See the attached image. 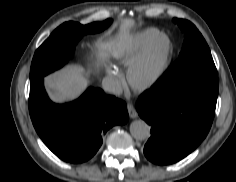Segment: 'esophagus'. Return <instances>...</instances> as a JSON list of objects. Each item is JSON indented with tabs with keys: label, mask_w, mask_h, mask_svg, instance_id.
<instances>
[{
	"label": "esophagus",
	"mask_w": 236,
	"mask_h": 182,
	"mask_svg": "<svg viewBox=\"0 0 236 182\" xmlns=\"http://www.w3.org/2000/svg\"><path fill=\"white\" fill-rule=\"evenodd\" d=\"M127 110H128V114H129L130 118L134 119V118L138 117V113H137V111H136L133 104L128 103L127 104Z\"/></svg>",
	"instance_id": "34e87169"
}]
</instances>
